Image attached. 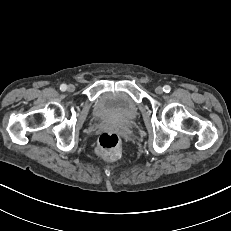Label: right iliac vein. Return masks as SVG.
I'll list each match as a JSON object with an SVG mask.
<instances>
[{"instance_id":"right-iliac-vein-1","label":"right iliac vein","mask_w":231,"mask_h":231,"mask_svg":"<svg viewBox=\"0 0 231 231\" xmlns=\"http://www.w3.org/2000/svg\"><path fill=\"white\" fill-rule=\"evenodd\" d=\"M74 90H75L74 85H72V84L68 85V87H67L68 92H73Z\"/></svg>"}]
</instances>
